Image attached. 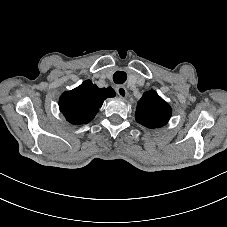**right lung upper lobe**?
<instances>
[{
  "label": "right lung upper lobe",
  "mask_w": 227,
  "mask_h": 227,
  "mask_svg": "<svg viewBox=\"0 0 227 227\" xmlns=\"http://www.w3.org/2000/svg\"><path fill=\"white\" fill-rule=\"evenodd\" d=\"M114 90L98 88L92 81H84L77 88L63 93L59 100V107L68 122L80 125L90 122L103 101L108 97H114Z\"/></svg>",
  "instance_id": "obj_1"
}]
</instances>
